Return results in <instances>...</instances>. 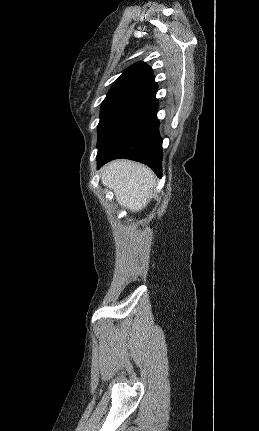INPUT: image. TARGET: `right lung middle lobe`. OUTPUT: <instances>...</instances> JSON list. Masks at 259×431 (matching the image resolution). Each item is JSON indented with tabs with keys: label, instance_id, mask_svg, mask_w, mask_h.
<instances>
[{
	"label": "right lung middle lobe",
	"instance_id": "right-lung-middle-lobe-1",
	"mask_svg": "<svg viewBox=\"0 0 259 431\" xmlns=\"http://www.w3.org/2000/svg\"><path fill=\"white\" fill-rule=\"evenodd\" d=\"M152 94L149 89L136 84L109 91L101 105L97 146L131 108Z\"/></svg>",
	"mask_w": 259,
	"mask_h": 431
}]
</instances>
